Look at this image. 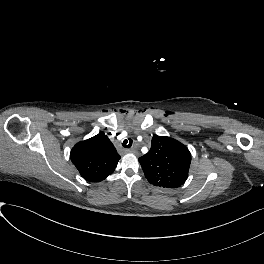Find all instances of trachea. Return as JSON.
Masks as SVG:
<instances>
[{"instance_id": "3493384b", "label": "trachea", "mask_w": 264, "mask_h": 264, "mask_svg": "<svg viewBox=\"0 0 264 264\" xmlns=\"http://www.w3.org/2000/svg\"><path fill=\"white\" fill-rule=\"evenodd\" d=\"M132 143V139L128 138L123 141L122 146L125 148H130L132 146Z\"/></svg>"}]
</instances>
